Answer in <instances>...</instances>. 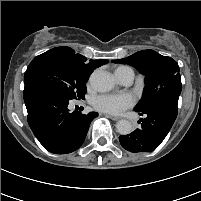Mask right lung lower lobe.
Listing matches in <instances>:
<instances>
[{
	"label": "right lung lower lobe",
	"mask_w": 201,
	"mask_h": 201,
	"mask_svg": "<svg viewBox=\"0 0 201 201\" xmlns=\"http://www.w3.org/2000/svg\"><path fill=\"white\" fill-rule=\"evenodd\" d=\"M24 102L31 130L43 147L55 154L78 149L85 140L90 122L98 115L96 112H69V99L38 83L25 85Z\"/></svg>",
	"instance_id": "98d812e1"
}]
</instances>
